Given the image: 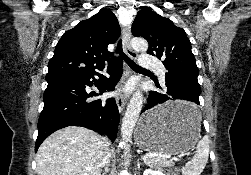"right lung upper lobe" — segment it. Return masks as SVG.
I'll list each match as a JSON object with an SVG mask.
<instances>
[{
    "label": "right lung upper lobe",
    "mask_w": 251,
    "mask_h": 175,
    "mask_svg": "<svg viewBox=\"0 0 251 175\" xmlns=\"http://www.w3.org/2000/svg\"><path fill=\"white\" fill-rule=\"evenodd\" d=\"M120 35L116 16L103 9L66 31L49 62L46 80L76 77L101 70L111 56L107 46ZM115 60L109 61V64Z\"/></svg>",
    "instance_id": "cb5924a9"
}]
</instances>
